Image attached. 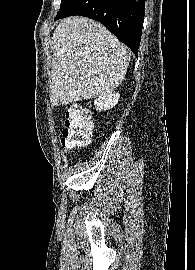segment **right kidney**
I'll return each instance as SVG.
<instances>
[{
	"instance_id": "right-kidney-1",
	"label": "right kidney",
	"mask_w": 195,
	"mask_h": 270,
	"mask_svg": "<svg viewBox=\"0 0 195 270\" xmlns=\"http://www.w3.org/2000/svg\"><path fill=\"white\" fill-rule=\"evenodd\" d=\"M119 98H120L119 93H112V92L100 96L94 101L95 108L98 111L110 110L118 103Z\"/></svg>"
}]
</instances>
